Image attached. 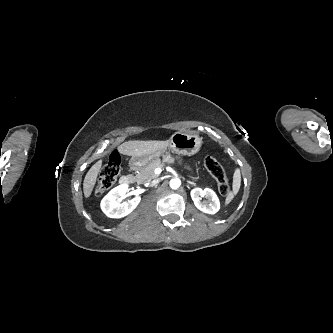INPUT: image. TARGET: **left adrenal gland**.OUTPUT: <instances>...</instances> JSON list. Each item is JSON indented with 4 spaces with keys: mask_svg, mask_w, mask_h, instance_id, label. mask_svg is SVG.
<instances>
[{
    "mask_svg": "<svg viewBox=\"0 0 333 333\" xmlns=\"http://www.w3.org/2000/svg\"><path fill=\"white\" fill-rule=\"evenodd\" d=\"M187 183H188V184H191V185H196V183H194V182H192V181H189V180H187Z\"/></svg>",
    "mask_w": 333,
    "mask_h": 333,
    "instance_id": "a2214340",
    "label": "left adrenal gland"
}]
</instances>
